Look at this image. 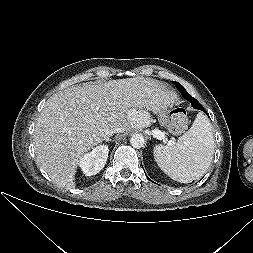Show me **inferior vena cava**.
I'll use <instances>...</instances> for the list:
<instances>
[{
  "label": "inferior vena cava",
  "mask_w": 253,
  "mask_h": 253,
  "mask_svg": "<svg viewBox=\"0 0 253 253\" xmlns=\"http://www.w3.org/2000/svg\"><path fill=\"white\" fill-rule=\"evenodd\" d=\"M120 132H121V130H120L119 128L110 129V130H107V131L105 132L104 137L110 136V135H112L113 133H120Z\"/></svg>",
  "instance_id": "obj_1"
}]
</instances>
